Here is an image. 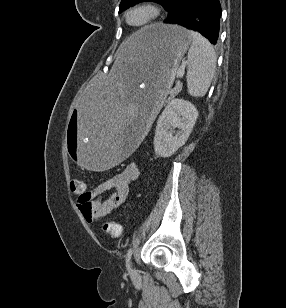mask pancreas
I'll return each instance as SVG.
<instances>
[{
  "instance_id": "obj_1",
  "label": "pancreas",
  "mask_w": 286,
  "mask_h": 308,
  "mask_svg": "<svg viewBox=\"0 0 286 308\" xmlns=\"http://www.w3.org/2000/svg\"><path fill=\"white\" fill-rule=\"evenodd\" d=\"M182 86L178 85L176 86L171 92H170V98L175 97L176 95H178V93L181 91Z\"/></svg>"
}]
</instances>
